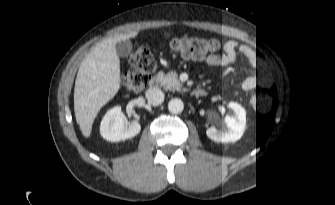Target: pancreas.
<instances>
[{
	"instance_id": "1",
	"label": "pancreas",
	"mask_w": 335,
	"mask_h": 205,
	"mask_svg": "<svg viewBox=\"0 0 335 205\" xmlns=\"http://www.w3.org/2000/svg\"><path fill=\"white\" fill-rule=\"evenodd\" d=\"M162 83L166 89H179L181 87L178 76L173 73H169L165 76H162Z\"/></svg>"
}]
</instances>
